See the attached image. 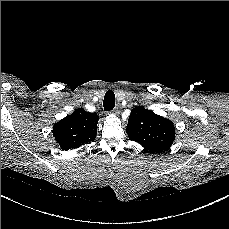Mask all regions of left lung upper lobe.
Masks as SVG:
<instances>
[{
  "mask_svg": "<svg viewBox=\"0 0 229 229\" xmlns=\"http://www.w3.org/2000/svg\"><path fill=\"white\" fill-rule=\"evenodd\" d=\"M126 132L130 140L152 153L167 151L175 139L173 122L143 106L131 110Z\"/></svg>",
  "mask_w": 229,
  "mask_h": 229,
  "instance_id": "left-lung-upper-lobe-1",
  "label": "left lung upper lobe"
}]
</instances>
